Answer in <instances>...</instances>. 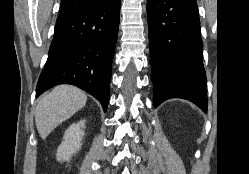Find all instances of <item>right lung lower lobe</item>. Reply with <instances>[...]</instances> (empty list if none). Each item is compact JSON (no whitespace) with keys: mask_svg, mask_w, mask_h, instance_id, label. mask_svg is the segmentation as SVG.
Wrapping results in <instances>:
<instances>
[{"mask_svg":"<svg viewBox=\"0 0 249 174\" xmlns=\"http://www.w3.org/2000/svg\"><path fill=\"white\" fill-rule=\"evenodd\" d=\"M120 19V0L57 18L36 97L59 84L75 85L107 110L111 67Z\"/></svg>","mask_w":249,"mask_h":174,"instance_id":"98d812e1","label":"right lung lower lobe"}]
</instances>
